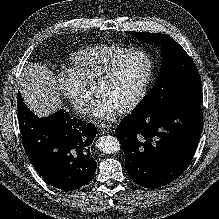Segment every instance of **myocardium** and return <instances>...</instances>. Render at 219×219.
<instances>
[{
	"mask_svg": "<svg viewBox=\"0 0 219 219\" xmlns=\"http://www.w3.org/2000/svg\"><path fill=\"white\" fill-rule=\"evenodd\" d=\"M135 55H142L143 57L146 58L148 63V69L145 78L142 82V85L138 90L137 94L135 95V97L128 104H126L125 106L119 109L121 113H128L134 110L146 96L155 72V63L152 55L148 51L143 49L130 50L129 52L123 54L122 56L117 58L114 62H112L96 81V87L105 84L116 73V71L119 69V67L122 65V63L125 60Z\"/></svg>",
	"mask_w": 219,
	"mask_h": 219,
	"instance_id": "1",
	"label": "myocardium"
}]
</instances>
